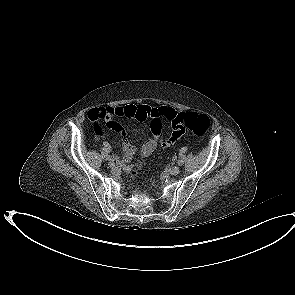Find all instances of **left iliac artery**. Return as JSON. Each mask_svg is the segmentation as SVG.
<instances>
[{"instance_id": "left-iliac-artery-1", "label": "left iliac artery", "mask_w": 295, "mask_h": 295, "mask_svg": "<svg viewBox=\"0 0 295 295\" xmlns=\"http://www.w3.org/2000/svg\"><path fill=\"white\" fill-rule=\"evenodd\" d=\"M183 161L182 160H179L178 161V165H182Z\"/></svg>"}]
</instances>
